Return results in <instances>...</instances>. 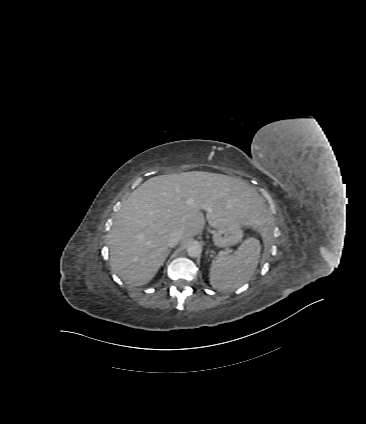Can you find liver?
Wrapping results in <instances>:
<instances>
[{"instance_id": "obj_1", "label": "liver", "mask_w": 366, "mask_h": 424, "mask_svg": "<svg viewBox=\"0 0 366 424\" xmlns=\"http://www.w3.org/2000/svg\"><path fill=\"white\" fill-rule=\"evenodd\" d=\"M201 209L216 229L233 223L265 229L264 201L240 179L203 171L156 176L130 194L109 232L114 272L133 285L150 282L169 254L171 234L181 232L186 242L202 232Z\"/></svg>"}]
</instances>
